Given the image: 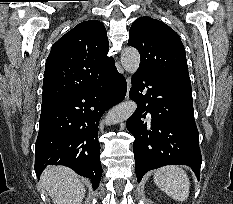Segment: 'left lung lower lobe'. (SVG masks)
Segmentation results:
<instances>
[{
    "mask_svg": "<svg viewBox=\"0 0 233 204\" xmlns=\"http://www.w3.org/2000/svg\"><path fill=\"white\" fill-rule=\"evenodd\" d=\"M131 83L129 95L138 107L127 120V129L135 137L138 182L147 171L170 164L190 166L199 179L202 157L191 86L142 71L133 75Z\"/></svg>",
    "mask_w": 233,
    "mask_h": 204,
    "instance_id": "1",
    "label": "left lung lower lobe"
}]
</instances>
